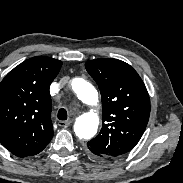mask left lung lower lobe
<instances>
[{
  "label": "left lung lower lobe",
  "instance_id": "0a47b994",
  "mask_svg": "<svg viewBox=\"0 0 183 183\" xmlns=\"http://www.w3.org/2000/svg\"><path fill=\"white\" fill-rule=\"evenodd\" d=\"M88 152H89V155L91 157H93V158H95L96 160H99V161H105V160L111 159L109 157H106V156L98 154V153H93V152H90V151H88Z\"/></svg>",
  "mask_w": 183,
  "mask_h": 183
}]
</instances>
